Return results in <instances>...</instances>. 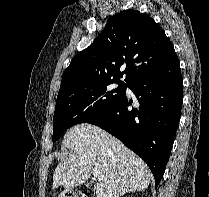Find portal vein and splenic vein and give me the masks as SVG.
Wrapping results in <instances>:
<instances>
[{
	"label": "portal vein and splenic vein",
	"instance_id": "obj_1",
	"mask_svg": "<svg viewBox=\"0 0 209 197\" xmlns=\"http://www.w3.org/2000/svg\"><path fill=\"white\" fill-rule=\"evenodd\" d=\"M92 173H93V176H95L96 178L103 177V175L100 173V171L97 168L93 169Z\"/></svg>",
	"mask_w": 209,
	"mask_h": 197
}]
</instances>
